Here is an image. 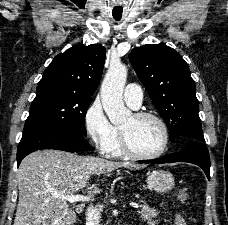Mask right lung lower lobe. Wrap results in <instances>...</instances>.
I'll list each match as a JSON object with an SVG mask.
<instances>
[{
	"mask_svg": "<svg viewBox=\"0 0 228 225\" xmlns=\"http://www.w3.org/2000/svg\"><path fill=\"white\" fill-rule=\"evenodd\" d=\"M85 135L54 125L26 127L17 150V165L31 152L41 149H57L68 152L89 150Z\"/></svg>",
	"mask_w": 228,
	"mask_h": 225,
	"instance_id": "1",
	"label": "right lung lower lobe"
}]
</instances>
